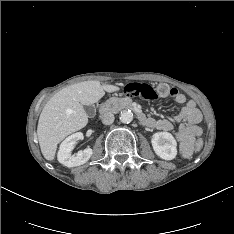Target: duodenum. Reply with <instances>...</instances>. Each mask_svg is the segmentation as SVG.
<instances>
[{
  "instance_id": "1",
  "label": "duodenum",
  "mask_w": 234,
  "mask_h": 234,
  "mask_svg": "<svg viewBox=\"0 0 234 234\" xmlns=\"http://www.w3.org/2000/svg\"><path fill=\"white\" fill-rule=\"evenodd\" d=\"M116 108L130 109L136 114L138 120L144 125H147L149 122V118L142 112V110L129 100L111 101L101 106V112L108 113Z\"/></svg>"
}]
</instances>
